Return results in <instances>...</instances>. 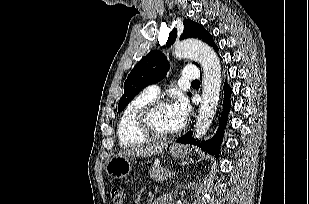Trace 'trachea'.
I'll return each instance as SVG.
<instances>
[{
	"mask_svg": "<svg viewBox=\"0 0 309 204\" xmlns=\"http://www.w3.org/2000/svg\"><path fill=\"white\" fill-rule=\"evenodd\" d=\"M192 84H200V81L199 80H195L192 82Z\"/></svg>",
	"mask_w": 309,
	"mask_h": 204,
	"instance_id": "1",
	"label": "trachea"
}]
</instances>
